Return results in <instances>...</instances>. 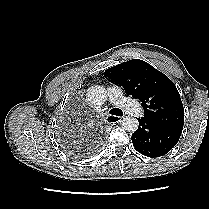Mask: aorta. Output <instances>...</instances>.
Returning a JSON list of instances; mask_svg holds the SVG:
<instances>
[{"label":"aorta","mask_w":209,"mask_h":209,"mask_svg":"<svg viewBox=\"0 0 209 209\" xmlns=\"http://www.w3.org/2000/svg\"><path fill=\"white\" fill-rule=\"evenodd\" d=\"M87 99L94 105H102L107 100V91L99 85L91 86L87 90ZM138 120L134 117H124L121 126L125 131L134 132L138 129Z\"/></svg>","instance_id":"1"}]
</instances>
